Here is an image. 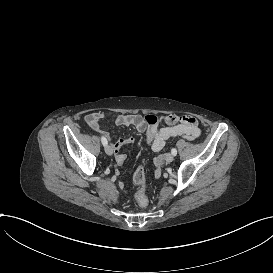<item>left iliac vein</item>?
<instances>
[{
    "label": "left iliac vein",
    "instance_id": "obj_1",
    "mask_svg": "<svg viewBox=\"0 0 273 273\" xmlns=\"http://www.w3.org/2000/svg\"><path fill=\"white\" fill-rule=\"evenodd\" d=\"M173 159H174L173 154L167 153V154L165 155V161H166V162H172Z\"/></svg>",
    "mask_w": 273,
    "mask_h": 273
}]
</instances>
